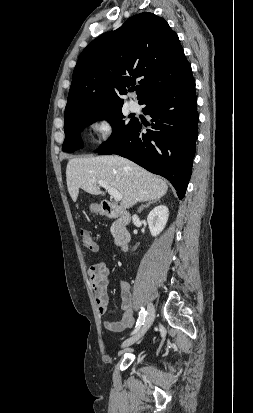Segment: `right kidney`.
Listing matches in <instances>:
<instances>
[{
  "instance_id": "ca27d5eb",
  "label": "right kidney",
  "mask_w": 253,
  "mask_h": 413,
  "mask_svg": "<svg viewBox=\"0 0 253 413\" xmlns=\"http://www.w3.org/2000/svg\"><path fill=\"white\" fill-rule=\"evenodd\" d=\"M169 216L168 208L164 205L156 206L147 216L151 235L156 237L165 228Z\"/></svg>"
}]
</instances>
